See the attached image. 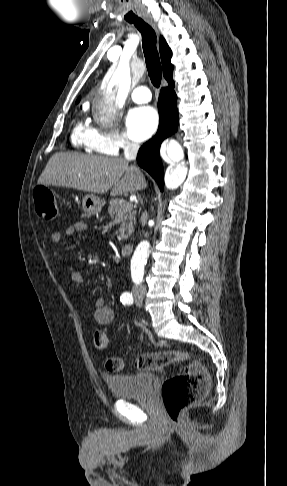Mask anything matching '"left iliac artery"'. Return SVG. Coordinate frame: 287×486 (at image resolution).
Segmentation results:
<instances>
[{"label":"left iliac artery","instance_id":"obj_1","mask_svg":"<svg viewBox=\"0 0 287 486\" xmlns=\"http://www.w3.org/2000/svg\"><path fill=\"white\" fill-rule=\"evenodd\" d=\"M121 302H122L123 304H128V305H129V304H132V302H133V298H132V300H129V299H121Z\"/></svg>","mask_w":287,"mask_h":486}]
</instances>
